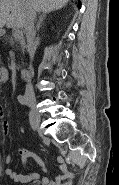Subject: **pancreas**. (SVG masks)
I'll return each instance as SVG.
<instances>
[{
  "label": "pancreas",
  "mask_w": 119,
  "mask_h": 185,
  "mask_svg": "<svg viewBox=\"0 0 119 185\" xmlns=\"http://www.w3.org/2000/svg\"><path fill=\"white\" fill-rule=\"evenodd\" d=\"M8 42L11 46L19 45L21 47L22 51H24L26 48V44H25V40H24L23 35H21L20 38H15L14 34H13L11 37L8 38Z\"/></svg>",
  "instance_id": "cf45deb5"
}]
</instances>
